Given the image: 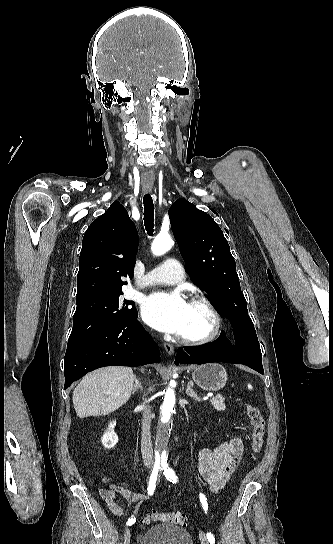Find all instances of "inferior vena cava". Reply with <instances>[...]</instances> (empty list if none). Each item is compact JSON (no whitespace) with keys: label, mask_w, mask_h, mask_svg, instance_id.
Returning <instances> with one entry per match:
<instances>
[{"label":"inferior vena cava","mask_w":333,"mask_h":544,"mask_svg":"<svg viewBox=\"0 0 333 544\" xmlns=\"http://www.w3.org/2000/svg\"><path fill=\"white\" fill-rule=\"evenodd\" d=\"M150 427L151 410L149 406H144L141 432V453L146 467H151L154 463Z\"/></svg>","instance_id":"obj_1"}]
</instances>
